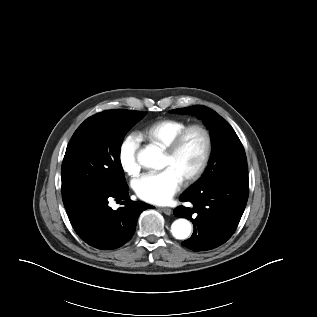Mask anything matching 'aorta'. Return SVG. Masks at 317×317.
<instances>
[{
	"instance_id": "1",
	"label": "aorta",
	"mask_w": 317,
	"mask_h": 317,
	"mask_svg": "<svg viewBox=\"0 0 317 317\" xmlns=\"http://www.w3.org/2000/svg\"><path fill=\"white\" fill-rule=\"evenodd\" d=\"M163 157L162 150L156 145H148L143 148L138 156V162L145 168L160 169V160ZM191 223L184 218L175 220L171 225L172 235L179 240L187 239L191 233Z\"/></svg>"
}]
</instances>
